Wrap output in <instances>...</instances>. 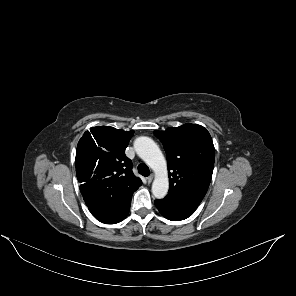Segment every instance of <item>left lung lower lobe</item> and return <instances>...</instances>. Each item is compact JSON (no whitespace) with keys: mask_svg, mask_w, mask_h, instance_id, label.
Segmentation results:
<instances>
[{"mask_svg":"<svg viewBox=\"0 0 296 296\" xmlns=\"http://www.w3.org/2000/svg\"><path fill=\"white\" fill-rule=\"evenodd\" d=\"M160 213L167 219L172 221H180L188 218L197 209L196 206H180L170 204L162 200L154 201Z\"/></svg>","mask_w":296,"mask_h":296,"instance_id":"0a47b994","label":"left lung lower lobe"}]
</instances>
